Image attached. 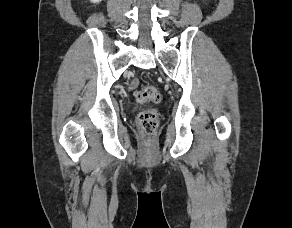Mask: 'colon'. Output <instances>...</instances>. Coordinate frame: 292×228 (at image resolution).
<instances>
[{"label": "colon", "mask_w": 292, "mask_h": 228, "mask_svg": "<svg viewBox=\"0 0 292 228\" xmlns=\"http://www.w3.org/2000/svg\"><path fill=\"white\" fill-rule=\"evenodd\" d=\"M135 97L138 102H153L159 103L161 96L158 90L153 86L142 87L135 92ZM138 123L143 137L146 141H151L158 127V114L153 109H146L139 113Z\"/></svg>", "instance_id": "5ec220e1"}]
</instances>
